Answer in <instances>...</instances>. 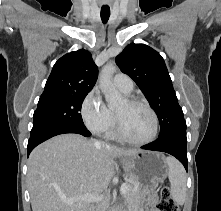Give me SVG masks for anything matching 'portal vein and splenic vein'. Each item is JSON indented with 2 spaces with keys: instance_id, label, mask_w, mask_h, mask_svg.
<instances>
[{
  "instance_id": "obj_1",
  "label": "portal vein and splenic vein",
  "mask_w": 221,
  "mask_h": 211,
  "mask_svg": "<svg viewBox=\"0 0 221 211\" xmlns=\"http://www.w3.org/2000/svg\"><path fill=\"white\" fill-rule=\"evenodd\" d=\"M128 190V186L126 183H123L120 188L121 194H125ZM103 196L102 195H96V194H87L85 196H80V197H71V198H62V201L67 203V204H73L78 201H86V202H91V203H98L102 202Z\"/></svg>"
}]
</instances>
